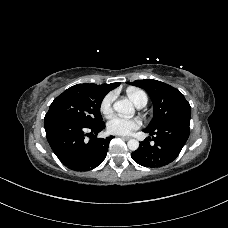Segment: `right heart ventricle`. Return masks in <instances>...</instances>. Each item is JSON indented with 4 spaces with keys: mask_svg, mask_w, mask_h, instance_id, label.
I'll use <instances>...</instances> for the list:
<instances>
[{
    "mask_svg": "<svg viewBox=\"0 0 228 228\" xmlns=\"http://www.w3.org/2000/svg\"><path fill=\"white\" fill-rule=\"evenodd\" d=\"M129 98L137 104L138 102L145 100L147 102V95L140 89L130 87L127 89Z\"/></svg>",
    "mask_w": 228,
    "mask_h": 228,
    "instance_id": "right-heart-ventricle-1",
    "label": "right heart ventricle"
}]
</instances>
